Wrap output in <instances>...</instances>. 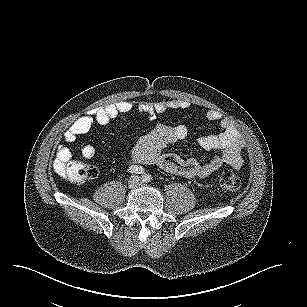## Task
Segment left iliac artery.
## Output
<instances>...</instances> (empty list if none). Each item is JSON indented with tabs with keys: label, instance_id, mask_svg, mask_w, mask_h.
Segmentation results:
<instances>
[{
	"label": "left iliac artery",
	"instance_id": "left-iliac-artery-1",
	"mask_svg": "<svg viewBox=\"0 0 307 307\" xmlns=\"http://www.w3.org/2000/svg\"><path fill=\"white\" fill-rule=\"evenodd\" d=\"M141 179H142L143 182H149V181H151L152 178H151V176L146 174V175L142 176Z\"/></svg>",
	"mask_w": 307,
	"mask_h": 307
}]
</instances>
